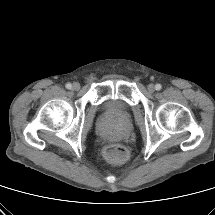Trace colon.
Returning <instances> with one entry per match:
<instances>
[{
	"instance_id": "colon-1",
	"label": "colon",
	"mask_w": 215,
	"mask_h": 215,
	"mask_svg": "<svg viewBox=\"0 0 215 215\" xmlns=\"http://www.w3.org/2000/svg\"><path fill=\"white\" fill-rule=\"evenodd\" d=\"M104 156L111 162L121 164L124 163L128 157V150L120 144H111L105 147Z\"/></svg>"
}]
</instances>
